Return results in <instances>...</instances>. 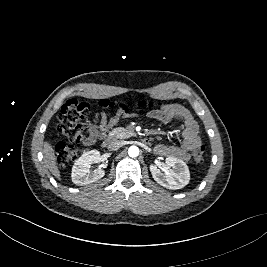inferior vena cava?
<instances>
[{
    "label": "inferior vena cava",
    "mask_w": 267,
    "mask_h": 267,
    "mask_svg": "<svg viewBox=\"0 0 267 267\" xmlns=\"http://www.w3.org/2000/svg\"><path fill=\"white\" fill-rule=\"evenodd\" d=\"M122 146H123V142L122 141H120V140H113V141H111L109 143L108 149L110 151H116V150H118Z\"/></svg>",
    "instance_id": "602c4592"
}]
</instances>
